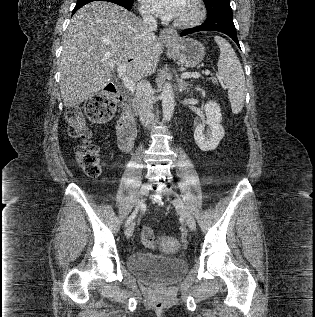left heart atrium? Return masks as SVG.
Here are the masks:
<instances>
[{
	"mask_svg": "<svg viewBox=\"0 0 315 317\" xmlns=\"http://www.w3.org/2000/svg\"><path fill=\"white\" fill-rule=\"evenodd\" d=\"M153 14L167 19L176 18L185 0H141Z\"/></svg>",
	"mask_w": 315,
	"mask_h": 317,
	"instance_id": "39dd6f15",
	"label": "left heart atrium"
}]
</instances>
